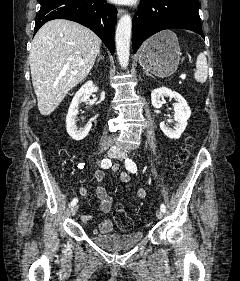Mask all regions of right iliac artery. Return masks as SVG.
<instances>
[{"instance_id": "82829eb1", "label": "right iliac artery", "mask_w": 240, "mask_h": 281, "mask_svg": "<svg viewBox=\"0 0 240 281\" xmlns=\"http://www.w3.org/2000/svg\"><path fill=\"white\" fill-rule=\"evenodd\" d=\"M101 167L104 168V169H108L109 167H111L112 165V162L110 159H103L100 163ZM78 202V199L77 198H74L71 203H70V206H74L76 205Z\"/></svg>"}]
</instances>
